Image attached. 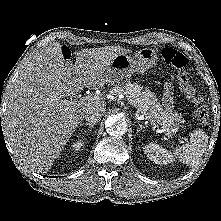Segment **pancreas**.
Segmentation results:
<instances>
[{"label":"pancreas","instance_id":"pancreas-1","mask_svg":"<svg viewBox=\"0 0 221 221\" xmlns=\"http://www.w3.org/2000/svg\"><path fill=\"white\" fill-rule=\"evenodd\" d=\"M110 94H124L135 102V107L145 115L152 123H157L169 135H172L179 129V123H183L182 115L173 113L172 110L163 109L157 101L156 96L149 90L131 82L116 85L110 90Z\"/></svg>","mask_w":221,"mask_h":221}]
</instances>
